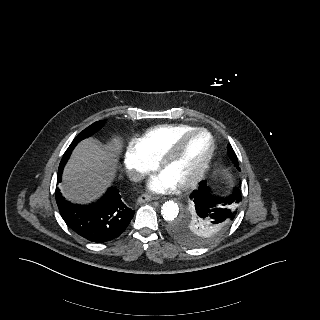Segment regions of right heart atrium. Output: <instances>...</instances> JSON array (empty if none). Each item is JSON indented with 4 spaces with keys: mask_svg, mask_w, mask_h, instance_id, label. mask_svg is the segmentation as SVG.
<instances>
[{
    "mask_svg": "<svg viewBox=\"0 0 320 320\" xmlns=\"http://www.w3.org/2000/svg\"><path fill=\"white\" fill-rule=\"evenodd\" d=\"M123 165L129 177L139 181L155 168L156 163L147 158L135 144H131L124 155Z\"/></svg>",
    "mask_w": 320,
    "mask_h": 320,
    "instance_id": "right-heart-atrium-1",
    "label": "right heart atrium"
}]
</instances>
